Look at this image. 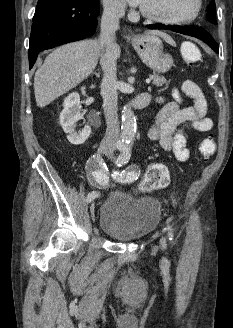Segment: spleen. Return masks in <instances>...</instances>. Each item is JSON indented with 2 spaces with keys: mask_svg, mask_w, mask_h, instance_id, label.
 Segmentation results:
<instances>
[{
  "mask_svg": "<svg viewBox=\"0 0 233 328\" xmlns=\"http://www.w3.org/2000/svg\"><path fill=\"white\" fill-rule=\"evenodd\" d=\"M189 45H190L191 49H193V51H195V53H197V49L193 45H191V44H189Z\"/></svg>",
  "mask_w": 233,
  "mask_h": 328,
  "instance_id": "obj_1",
  "label": "spleen"
}]
</instances>
